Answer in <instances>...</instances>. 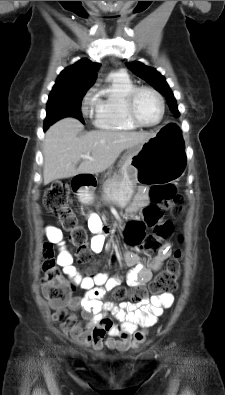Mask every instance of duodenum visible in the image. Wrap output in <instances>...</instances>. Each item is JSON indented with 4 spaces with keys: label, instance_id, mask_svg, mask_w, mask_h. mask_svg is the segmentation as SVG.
Returning <instances> with one entry per match:
<instances>
[{
    "label": "duodenum",
    "instance_id": "1",
    "mask_svg": "<svg viewBox=\"0 0 225 395\" xmlns=\"http://www.w3.org/2000/svg\"><path fill=\"white\" fill-rule=\"evenodd\" d=\"M75 182L77 188H85L92 185L90 178L87 175H78Z\"/></svg>",
    "mask_w": 225,
    "mask_h": 395
}]
</instances>
